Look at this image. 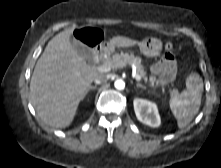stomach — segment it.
<instances>
[{"instance_id":"1","label":"stomach","mask_w":221,"mask_h":168,"mask_svg":"<svg viewBox=\"0 0 221 168\" xmlns=\"http://www.w3.org/2000/svg\"><path fill=\"white\" fill-rule=\"evenodd\" d=\"M140 52L146 57H156L161 53L162 41L160 39L151 37L146 38L138 43ZM104 50L107 52L113 51L111 45L107 43L104 45Z\"/></svg>"}]
</instances>
